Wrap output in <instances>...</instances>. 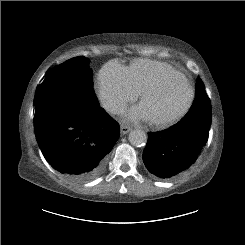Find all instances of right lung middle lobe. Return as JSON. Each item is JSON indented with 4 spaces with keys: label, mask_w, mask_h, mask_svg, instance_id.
<instances>
[{
    "label": "right lung middle lobe",
    "mask_w": 245,
    "mask_h": 245,
    "mask_svg": "<svg viewBox=\"0 0 245 245\" xmlns=\"http://www.w3.org/2000/svg\"><path fill=\"white\" fill-rule=\"evenodd\" d=\"M85 57H75L52 68L39 86L35 124L68 110L99 106L92 87V71Z\"/></svg>",
    "instance_id": "1"
}]
</instances>
